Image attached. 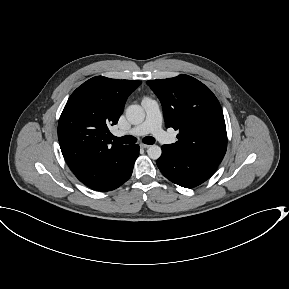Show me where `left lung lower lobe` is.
Here are the masks:
<instances>
[{
	"instance_id": "1",
	"label": "left lung lower lobe",
	"mask_w": 289,
	"mask_h": 289,
	"mask_svg": "<svg viewBox=\"0 0 289 289\" xmlns=\"http://www.w3.org/2000/svg\"><path fill=\"white\" fill-rule=\"evenodd\" d=\"M219 164L173 152L162 146V155L157 166L162 174L173 183L185 188H193L209 179Z\"/></svg>"
}]
</instances>
